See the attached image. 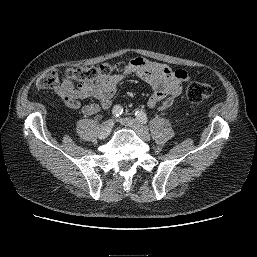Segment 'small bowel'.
Instances as JSON below:
<instances>
[{
    "label": "small bowel",
    "instance_id": "small-bowel-1",
    "mask_svg": "<svg viewBox=\"0 0 257 257\" xmlns=\"http://www.w3.org/2000/svg\"><path fill=\"white\" fill-rule=\"evenodd\" d=\"M136 76L149 84L153 93L147 101L150 108L165 110L181 94L190 75L184 70H172L169 66L145 58H134L121 73L112 74L92 85L79 84L75 87L69 79H63L56 87V93L71 109L80 110L85 115H94L100 109H108L121 82ZM93 98L97 102L83 105L82 100Z\"/></svg>",
    "mask_w": 257,
    "mask_h": 257
}]
</instances>
